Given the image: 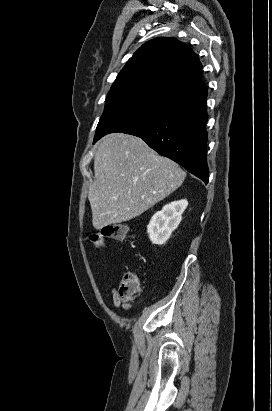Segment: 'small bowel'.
<instances>
[{
    "label": "small bowel",
    "instance_id": "c3829d8e",
    "mask_svg": "<svg viewBox=\"0 0 272 411\" xmlns=\"http://www.w3.org/2000/svg\"><path fill=\"white\" fill-rule=\"evenodd\" d=\"M111 294H112V298H113V305H114V307H115L116 309H118V308L121 306L122 301L119 299V297H118V295H117V289H116V287H113V288L111 289Z\"/></svg>",
    "mask_w": 272,
    "mask_h": 411
}]
</instances>
